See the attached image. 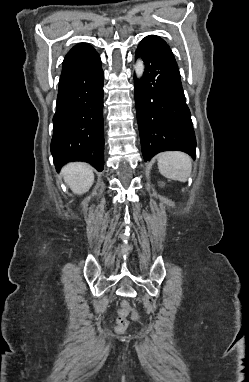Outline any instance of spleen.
<instances>
[{"instance_id":"3e777b00","label":"spleen","mask_w":249,"mask_h":382,"mask_svg":"<svg viewBox=\"0 0 249 382\" xmlns=\"http://www.w3.org/2000/svg\"><path fill=\"white\" fill-rule=\"evenodd\" d=\"M159 172L166 178L186 182L191 174L192 160L180 151H167L157 156Z\"/></svg>"}]
</instances>
